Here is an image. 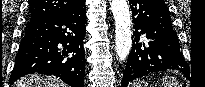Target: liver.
<instances>
[{"mask_svg": "<svg viewBox=\"0 0 205 87\" xmlns=\"http://www.w3.org/2000/svg\"><path fill=\"white\" fill-rule=\"evenodd\" d=\"M13 87H66L56 78L39 74L28 75L14 83Z\"/></svg>", "mask_w": 205, "mask_h": 87, "instance_id": "6515ba94", "label": "liver"}]
</instances>
